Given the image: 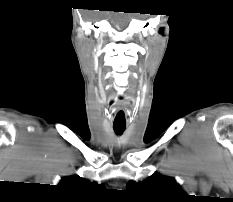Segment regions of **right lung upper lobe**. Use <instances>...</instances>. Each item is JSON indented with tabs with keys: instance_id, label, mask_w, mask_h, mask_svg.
Masks as SVG:
<instances>
[{
	"instance_id": "1",
	"label": "right lung upper lobe",
	"mask_w": 233,
	"mask_h": 202,
	"mask_svg": "<svg viewBox=\"0 0 233 202\" xmlns=\"http://www.w3.org/2000/svg\"><path fill=\"white\" fill-rule=\"evenodd\" d=\"M59 185L70 188H86L91 186H97L96 183L92 184L90 181L79 176L65 177L60 181Z\"/></svg>"
}]
</instances>
